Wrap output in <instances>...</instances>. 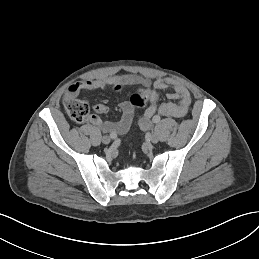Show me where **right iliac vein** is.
<instances>
[{
	"instance_id": "63e3f726",
	"label": "right iliac vein",
	"mask_w": 259,
	"mask_h": 259,
	"mask_svg": "<svg viewBox=\"0 0 259 259\" xmlns=\"http://www.w3.org/2000/svg\"><path fill=\"white\" fill-rule=\"evenodd\" d=\"M110 141H111V139H110L109 136H103V137H102V142H103L104 144H109Z\"/></svg>"
}]
</instances>
